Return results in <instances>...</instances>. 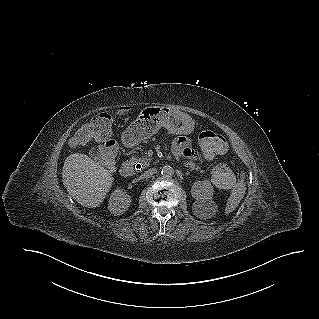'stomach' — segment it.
<instances>
[{
  "mask_svg": "<svg viewBox=\"0 0 319 319\" xmlns=\"http://www.w3.org/2000/svg\"><path fill=\"white\" fill-rule=\"evenodd\" d=\"M163 127L172 134L189 135L194 131V120L171 106H151L136 115L126 133L132 141L138 143Z\"/></svg>",
  "mask_w": 319,
  "mask_h": 319,
  "instance_id": "1",
  "label": "stomach"
}]
</instances>
